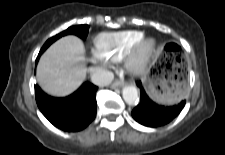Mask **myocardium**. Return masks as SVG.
<instances>
[{"label": "myocardium", "mask_w": 225, "mask_h": 155, "mask_svg": "<svg viewBox=\"0 0 225 155\" xmlns=\"http://www.w3.org/2000/svg\"><path fill=\"white\" fill-rule=\"evenodd\" d=\"M157 40L154 37H143L128 53L126 66L134 74L143 73L157 51Z\"/></svg>", "instance_id": "f54148a6"}]
</instances>
